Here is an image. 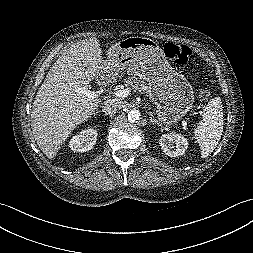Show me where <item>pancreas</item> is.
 Masks as SVG:
<instances>
[{"label": "pancreas", "instance_id": "1", "mask_svg": "<svg viewBox=\"0 0 253 253\" xmlns=\"http://www.w3.org/2000/svg\"><path fill=\"white\" fill-rule=\"evenodd\" d=\"M124 86L130 91H145L146 90V82L144 80H139L135 76H130L125 79Z\"/></svg>", "mask_w": 253, "mask_h": 253}]
</instances>
